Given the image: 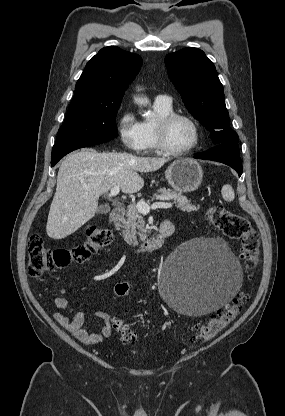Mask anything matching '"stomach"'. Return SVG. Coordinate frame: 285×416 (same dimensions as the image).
Instances as JSON below:
<instances>
[{"mask_svg": "<svg viewBox=\"0 0 285 416\" xmlns=\"http://www.w3.org/2000/svg\"><path fill=\"white\" fill-rule=\"evenodd\" d=\"M165 178L174 192L188 194L199 188L203 180V170L196 160L180 158L172 162L165 172Z\"/></svg>", "mask_w": 285, "mask_h": 416, "instance_id": "0dacf381", "label": "stomach"}]
</instances>
